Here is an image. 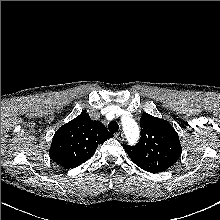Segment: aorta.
<instances>
[{
    "label": "aorta",
    "mask_w": 220,
    "mask_h": 220,
    "mask_svg": "<svg viewBox=\"0 0 220 220\" xmlns=\"http://www.w3.org/2000/svg\"><path fill=\"white\" fill-rule=\"evenodd\" d=\"M122 127L126 135L127 141L130 144H135L139 139V126L135 120L130 117H124L122 119Z\"/></svg>",
    "instance_id": "1"
}]
</instances>
